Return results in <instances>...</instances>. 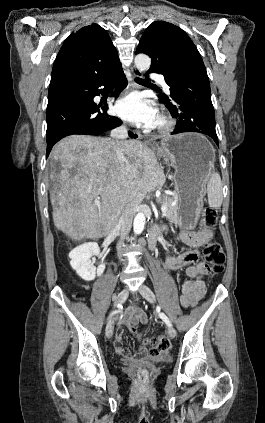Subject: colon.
Wrapping results in <instances>:
<instances>
[{
    "mask_svg": "<svg viewBox=\"0 0 265 423\" xmlns=\"http://www.w3.org/2000/svg\"><path fill=\"white\" fill-rule=\"evenodd\" d=\"M217 215L215 210L206 208L202 215V224L206 228H212L215 226ZM204 260L211 267L214 274H220L224 270L225 254L221 245L216 241L206 242L203 246ZM130 330L135 332L136 329L132 325ZM146 343L149 345L148 354L152 358L163 357L170 349L171 344L169 339L164 335L153 336L149 338ZM147 372L144 369L138 371V378L145 380Z\"/></svg>",
    "mask_w": 265,
    "mask_h": 423,
    "instance_id": "5ec220e1",
    "label": "colon"
}]
</instances>
